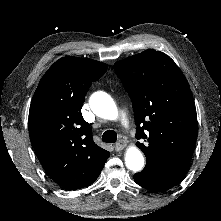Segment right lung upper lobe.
I'll return each instance as SVG.
<instances>
[{
    "label": "right lung upper lobe",
    "mask_w": 221,
    "mask_h": 221,
    "mask_svg": "<svg viewBox=\"0 0 221 221\" xmlns=\"http://www.w3.org/2000/svg\"><path fill=\"white\" fill-rule=\"evenodd\" d=\"M107 67L92 59L60 58L40 80L31 102V143L47 174L68 190L91 185L109 157L94 143L81 114L90 85Z\"/></svg>",
    "instance_id": "obj_1"
}]
</instances>
